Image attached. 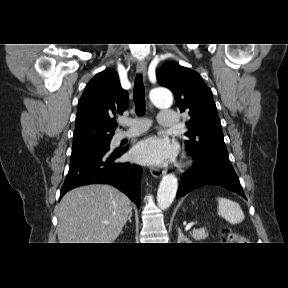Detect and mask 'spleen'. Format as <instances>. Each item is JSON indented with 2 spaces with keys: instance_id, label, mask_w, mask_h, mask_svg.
Returning <instances> with one entry per match:
<instances>
[{
  "instance_id": "3e777b00",
  "label": "spleen",
  "mask_w": 288,
  "mask_h": 288,
  "mask_svg": "<svg viewBox=\"0 0 288 288\" xmlns=\"http://www.w3.org/2000/svg\"><path fill=\"white\" fill-rule=\"evenodd\" d=\"M218 214L230 224H237L244 220L245 216L240 205L230 199L219 197Z\"/></svg>"
}]
</instances>
